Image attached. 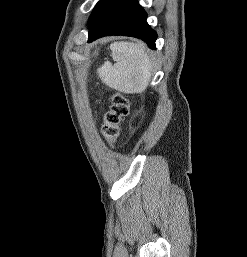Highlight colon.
<instances>
[{
    "label": "colon",
    "instance_id": "colon-1",
    "mask_svg": "<svg viewBox=\"0 0 247 257\" xmlns=\"http://www.w3.org/2000/svg\"><path fill=\"white\" fill-rule=\"evenodd\" d=\"M110 103L101 131L106 141L114 145L120 134L121 121L129 114V99L125 94L116 92L111 95Z\"/></svg>",
    "mask_w": 247,
    "mask_h": 257
}]
</instances>
